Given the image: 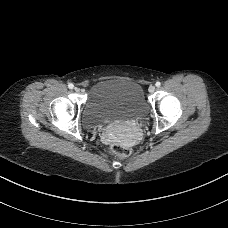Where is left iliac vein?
<instances>
[{"label":"left iliac vein","instance_id":"obj_1","mask_svg":"<svg viewBox=\"0 0 228 228\" xmlns=\"http://www.w3.org/2000/svg\"><path fill=\"white\" fill-rule=\"evenodd\" d=\"M155 90H156L155 86L151 85V86L149 87V92H150V93H154Z\"/></svg>","mask_w":228,"mask_h":228}]
</instances>
